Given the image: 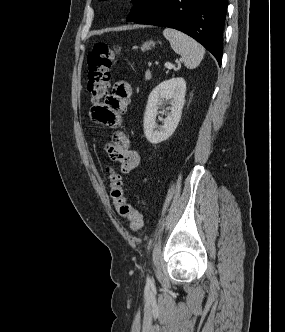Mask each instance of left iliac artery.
<instances>
[{"label": "left iliac artery", "instance_id": "44dca946", "mask_svg": "<svg viewBox=\"0 0 285 332\" xmlns=\"http://www.w3.org/2000/svg\"><path fill=\"white\" fill-rule=\"evenodd\" d=\"M147 282H148V283H150V282H151V280H150V277H149V276H147Z\"/></svg>", "mask_w": 285, "mask_h": 332}]
</instances>
